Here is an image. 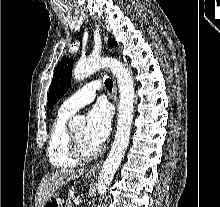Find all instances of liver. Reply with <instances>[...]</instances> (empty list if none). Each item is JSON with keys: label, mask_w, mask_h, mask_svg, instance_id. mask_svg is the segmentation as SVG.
<instances>
[{"label": "liver", "mask_w": 220, "mask_h": 207, "mask_svg": "<svg viewBox=\"0 0 220 207\" xmlns=\"http://www.w3.org/2000/svg\"><path fill=\"white\" fill-rule=\"evenodd\" d=\"M85 172L86 170L84 168L77 170L61 169L44 176L36 193L35 207H43V205L54 195L59 187L82 176Z\"/></svg>", "instance_id": "6515ba94"}]
</instances>
